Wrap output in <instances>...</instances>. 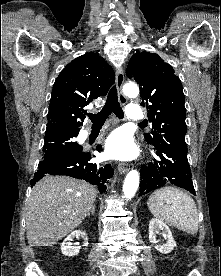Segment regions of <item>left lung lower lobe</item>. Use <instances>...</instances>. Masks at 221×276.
<instances>
[{
	"label": "left lung lower lobe",
	"mask_w": 221,
	"mask_h": 276,
	"mask_svg": "<svg viewBox=\"0 0 221 276\" xmlns=\"http://www.w3.org/2000/svg\"><path fill=\"white\" fill-rule=\"evenodd\" d=\"M155 151L158 160L141 167L140 195L147 194L165 184H174L195 194L187 159L188 150L160 144L155 146Z\"/></svg>",
	"instance_id": "obj_1"
}]
</instances>
